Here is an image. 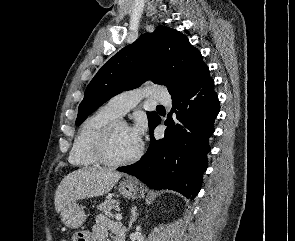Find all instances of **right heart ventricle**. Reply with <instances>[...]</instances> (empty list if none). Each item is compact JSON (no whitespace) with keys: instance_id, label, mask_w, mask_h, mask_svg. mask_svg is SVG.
Masks as SVG:
<instances>
[{"instance_id":"right-heart-ventricle-1","label":"right heart ventricle","mask_w":295,"mask_h":241,"mask_svg":"<svg viewBox=\"0 0 295 241\" xmlns=\"http://www.w3.org/2000/svg\"><path fill=\"white\" fill-rule=\"evenodd\" d=\"M119 116L101 107L90 115L81 125L74 139L69 155V161L76 167H93L99 164L95 157L94 147L106 126Z\"/></svg>"}]
</instances>
